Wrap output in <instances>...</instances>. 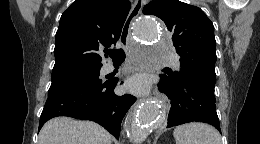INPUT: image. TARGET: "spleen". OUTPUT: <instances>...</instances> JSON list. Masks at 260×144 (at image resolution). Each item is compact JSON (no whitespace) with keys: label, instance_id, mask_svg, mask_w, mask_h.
Instances as JSON below:
<instances>
[{"label":"spleen","instance_id":"obj_1","mask_svg":"<svg viewBox=\"0 0 260 144\" xmlns=\"http://www.w3.org/2000/svg\"><path fill=\"white\" fill-rule=\"evenodd\" d=\"M173 135L176 144H221L220 133L205 123L191 122L177 126Z\"/></svg>","mask_w":260,"mask_h":144}]
</instances>
